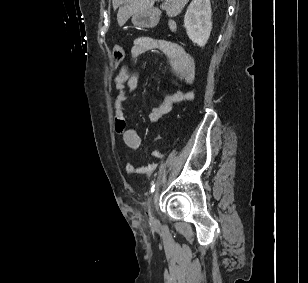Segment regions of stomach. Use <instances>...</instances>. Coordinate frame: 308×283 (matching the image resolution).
<instances>
[{
    "mask_svg": "<svg viewBox=\"0 0 308 283\" xmlns=\"http://www.w3.org/2000/svg\"><path fill=\"white\" fill-rule=\"evenodd\" d=\"M132 23L138 27H147L153 24V17L149 12H140L132 16Z\"/></svg>",
    "mask_w": 308,
    "mask_h": 283,
    "instance_id": "stomach-1",
    "label": "stomach"
}]
</instances>
